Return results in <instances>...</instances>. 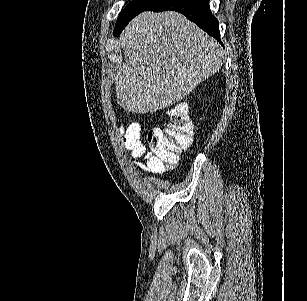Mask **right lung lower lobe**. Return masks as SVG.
Masks as SVG:
<instances>
[{"instance_id": "98d812e1", "label": "right lung lower lobe", "mask_w": 307, "mask_h": 301, "mask_svg": "<svg viewBox=\"0 0 307 301\" xmlns=\"http://www.w3.org/2000/svg\"><path fill=\"white\" fill-rule=\"evenodd\" d=\"M172 10L182 13L219 42V22L211 14L209 0H159L145 11Z\"/></svg>"}]
</instances>
